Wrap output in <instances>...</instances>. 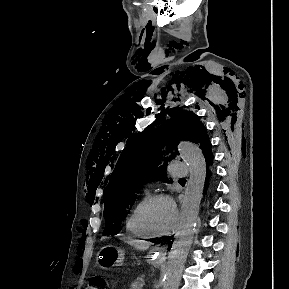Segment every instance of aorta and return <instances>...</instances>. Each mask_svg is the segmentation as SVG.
Here are the masks:
<instances>
[{"label":"aorta","instance_id":"aorta-1","mask_svg":"<svg viewBox=\"0 0 289 289\" xmlns=\"http://www.w3.org/2000/svg\"><path fill=\"white\" fill-rule=\"evenodd\" d=\"M180 157L189 167L190 177L182 202L180 223L168 255L162 289H178L198 219L206 178V161L198 145L182 141L178 146Z\"/></svg>","mask_w":289,"mask_h":289}]
</instances>
